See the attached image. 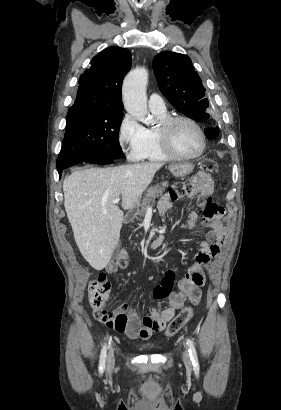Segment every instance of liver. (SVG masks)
Instances as JSON below:
<instances>
[{
  "label": "liver",
  "mask_w": 281,
  "mask_h": 410,
  "mask_svg": "<svg viewBox=\"0 0 281 410\" xmlns=\"http://www.w3.org/2000/svg\"><path fill=\"white\" fill-rule=\"evenodd\" d=\"M162 166L150 162L88 168L64 179V206L74 239L94 269L108 265L119 242L124 213L112 201L122 196V208H132Z\"/></svg>",
  "instance_id": "liver-1"
}]
</instances>
